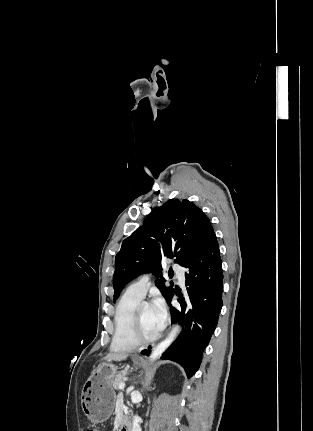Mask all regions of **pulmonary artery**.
<instances>
[{
    "label": "pulmonary artery",
    "instance_id": "obj_1",
    "mask_svg": "<svg viewBox=\"0 0 313 431\" xmlns=\"http://www.w3.org/2000/svg\"><path fill=\"white\" fill-rule=\"evenodd\" d=\"M176 276L178 278V281L181 285L185 283V270L180 265H174L173 267ZM150 287V278L148 275H144L141 278H139L137 281L133 282L126 288V293L135 297H138L142 299L148 289Z\"/></svg>",
    "mask_w": 313,
    "mask_h": 431
}]
</instances>
